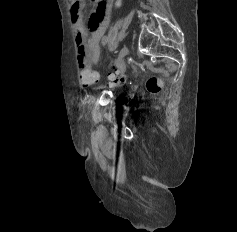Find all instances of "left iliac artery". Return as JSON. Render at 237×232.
<instances>
[{
  "mask_svg": "<svg viewBox=\"0 0 237 232\" xmlns=\"http://www.w3.org/2000/svg\"><path fill=\"white\" fill-rule=\"evenodd\" d=\"M107 41H108V37H107V36H104V37L102 38V44H103V45H106Z\"/></svg>",
  "mask_w": 237,
  "mask_h": 232,
  "instance_id": "left-iliac-artery-1",
  "label": "left iliac artery"
}]
</instances>
